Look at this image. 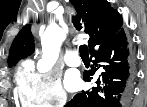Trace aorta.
<instances>
[{"mask_svg": "<svg viewBox=\"0 0 147 107\" xmlns=\"http://www.w3.org/2000/svg\"><path fill=\"white\" fill-rule=\"evenodd\" d=\"M64 32L55 24L50 25L41 38L42 58L37 63L40 72L49 71L58 59Z\"/></svg>", "mask_w": 147, "mask_h": 107, "instance_id": "obj_1", "label": "aorta"}]
</instances>
